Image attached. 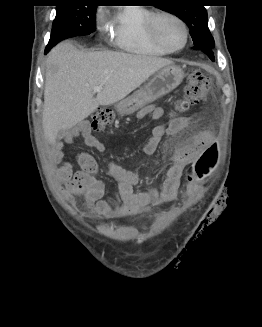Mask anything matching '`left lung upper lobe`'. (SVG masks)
<instances>
[{
	"mask_svg": "<svg viewBox=\"0 0 262 327\" xmlns=\"http://www.w3.org/2000/svg\"><path fill=\"white\" fill-rule=\"evenodd\" d=\"M196 0H161L158 8L175 14L189 27L194 49L214 48V39L208 29L207 11Z\"/></svg>",
	"mask_w": 262,
	"mask_h": 327,
	"instance_id": "5c2ea615",
	"label": "left lung upper lobe"
}]
</instances>
